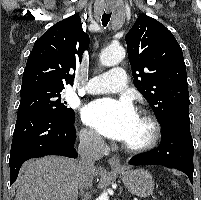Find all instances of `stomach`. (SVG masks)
Returning a JSON list of instances; mask_svg holds the SVG:
<instances>
[{"mask_svg":"<svg viewBox=\"0 0 201 200\" xmlns=\"http://www.w3.org/2000/svg\"><path fill=\"white\" fill-rule=\"evenodd\" d=\"M122 178L127 189L139 197L149 196L154 189L152 175L145 169L115 170Z\"/></svg>","mask_w":201,"mask_h":200,"instance_id":"stomach-1","label":"stomach"}]
</instances>
